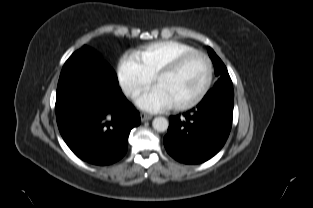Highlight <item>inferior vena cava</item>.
<instances>
[{
  "label": "inferior vena cava",
  "mask_w": 313,
  "mask_h": 208,
  "mask_svg": "<svg viewBox=\"0 0 313 208\" xmlns=\"http://www.w3.org/2000/svg\"><path fill=\"white\" fill-rule=\"evenodd\" d=\"M132 91H133L132 89H126V90H125V94H126V95H129Z\"/></svg>",
  "instance_id": "obj_1"
}]
</instances>
